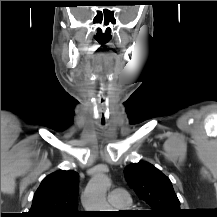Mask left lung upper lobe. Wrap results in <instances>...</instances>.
Here are the masks:
<instances>
[{
	"label": "left lung upper lobe",
	"instance_id": "1",
	"mask_svg": "<svg viewBox=\"0 0 217 217\" xmlns=\"http://www.w3.org/2000/svg\"><path fill=\"white\" fill-rule=\"evenodd\" d=\"M125 178L136 194L153 210L151 217H180L182 211L172 183L167 176L146 161L125 167Z\"/></svg>",
	"mask_w": 217,
	"mask_h": 217
}]
</instances>
